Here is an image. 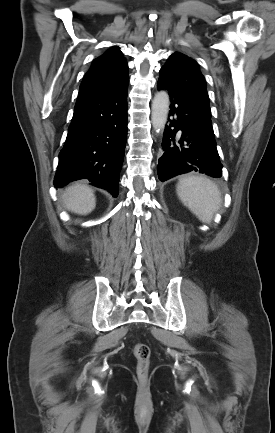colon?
I'll return each instance as SVG.
<instances>
[{
	"mask_svg": "<svg viewBox=\"0 0 275 433\" xmlns=\"http://www.w3.org/2000/svg\"><path fill=\"white\" fill-rule=\"evenodd\" d=\"M136 359V375L139 380L144 381L148 377L151 351L148 345L137 343L132 349Z\"/></svg>",
	"mask_w": 275,
	"mask_h": 433,
	"instance_id": "1",
	"label": "colon"
}]
</instances>
